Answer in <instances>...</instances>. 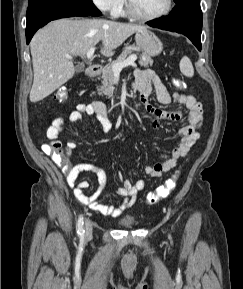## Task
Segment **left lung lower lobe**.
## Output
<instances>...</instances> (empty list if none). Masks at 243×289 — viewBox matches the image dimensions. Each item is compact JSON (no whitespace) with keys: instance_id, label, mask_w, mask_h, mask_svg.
Segmentation results:
<instances>
[{"instance_id":"obj_1","label":"left lung lower lobe","mask_w":243,"mask_h":289,"mask_svg":"<svg viewBox=\"0 0 243 289\" xmlns=\"http://www.w3.org/2000/svg\"><path fill=\"white\" fill-rule=\"evenodd\" d=\"M149 26L184 34L201 50L202 12L199 0H183L176 3L170 14L147 22Z\"/></svg>"}]
</instances>
